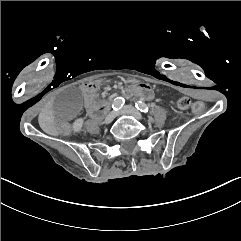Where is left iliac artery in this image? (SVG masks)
I'll use <instances>...</instances> for the list:
<instances>
[{
	"mask_svg": "<svg viewBox=\"0 0 241 241\" xmlns=\"http://www.w3.org/2000/svg\"><path fill=\"white\" fill-rule=\"evenodd\" d=\"M135 107L138 110H140L141 112H144V113H148V111H149L148 106L145 103L141 102V101H138L137 103H135Z\"/></svg>",
	"mask_w": 241,
	"mask_h": 241,
	"instance_id": "44dca946",
	"label": "left iliac artery"
}]
</instances>
